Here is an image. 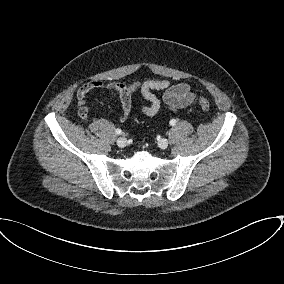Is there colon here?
<instances>
[{
	"mask_svg": "<svg viewBox=\"0 0 284 284\" xmlns=\"http://www.w3.org/2000/svg\"><path fill=\"white\" fill-rule=\"evenodd\" d=\"M199 104H200V107L202 108L203 111L209 110L210 104H209V102L206 98L200 97L199 98Z\"/></svg>",
	"mask_w": 284,
	"mask_h": 284,
	"instance_id": "colon-1",
	"label": "colon"
}]
</instances>
